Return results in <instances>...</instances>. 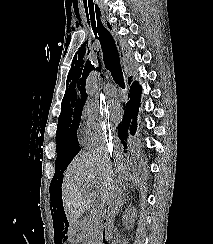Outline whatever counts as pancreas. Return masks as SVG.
I'll return each mask as SVG.
<instances>
[{
  "mask_svg": "<svg viewBox=\"0 0 213 244\" xmlns=\"http://www.w3.org/2000/svg\"><path fill=\"white\" fill-rule=\"evenodd\" d=\"M82 232L88 244H97L102 232L99 219L91 218L85 222L83 224Z\"/></svg>",
  "mask_w": 213,
  "mask_h": 244,
  "instance_id": "obj_1",
  "label": "pancreas"
}]
</instances>
